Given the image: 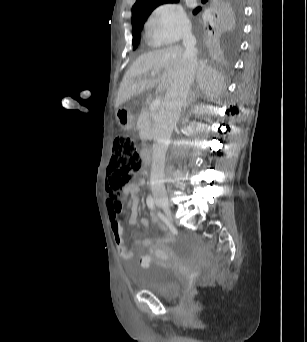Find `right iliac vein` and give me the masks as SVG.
I'll return each mask as SVG.
<instances>
[{"label": "right iliac vein", "instance_id": "right-iliac-vein-1", "mask_svg": "<svg viewBox=\"0 0 307 342\" xmlns=\"http://www.w3.org/2000/svg\"><path fill=\"white\" fill-rule=\"evenodd\" d=\"M156 203L162 207L163 209V212L165 213V215L168 217V219L170 221H173V218H172V212L170 210V204L167 200L166 197H157L156 198Z\"/></svg>", "mask_w": 307, "mask_h": 342}]
</instances>
